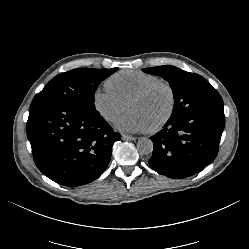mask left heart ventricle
<instances>
[{"label": "left heart ventricle", "instance_id": "left-heart-ventricle-1", "mask_svg": "<svg viewBox=\"0 0 249 249\" xmlns=\"http://www.w3.org/2000/svg\"><path fill=\"white\" fill-rule=\"evenodd\" d=\"M169 105L168 93L163 88H158L144 98L129 102L127 110L139 113L151 128L166 115Z\"/></svg>", "mask_w": 249, "mask_h": 249}]
</instances>
